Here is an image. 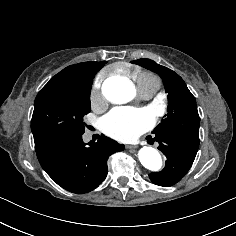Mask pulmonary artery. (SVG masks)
I'll return each mask as SVG.
<instances>
[{
	"instance_id": "pulmonary-artery-1",
	"label": "pulmonary artery",
	"mask_w": 236,
	"mask_h": 236,
	"mask_svg": "<svg viewBox=\"0 0 236 236\" xmlns=\"http://www.w3.org/2000/svg\"><path fill=\"white\" fill-rule=\"evenodd\" d=\"M139 94L143 97V98H149L154 94V91H139Z\"/></svg>"
}]
</instances>
